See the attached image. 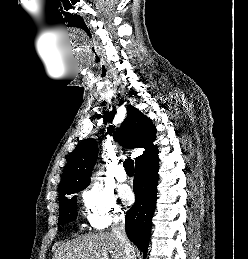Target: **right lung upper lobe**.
Here are the masks:
<instances>
[{"mask_svg": "<svg viewBox=\"0 0 248 259\" xmlns=\"http://www.w3.org/2000/svg\"><path fill=\"white\" fill-rule=\"evenodd\" d=\"M127 110V117L121 124V128L114 133V139L127 148L145 149V152L135 159L136 162L142 157L157 154V147L153 144L156 129L151 120L132 105H129ZM97 154L98 147L94 139H86L78 145L69 157L62 174L59 197L89 185Z\"/></svg>", "mask_w": 248, "mask_h": 259, "instance_id": "cb5924a9", "label": "right lung upper lobe"}]
</instances>
